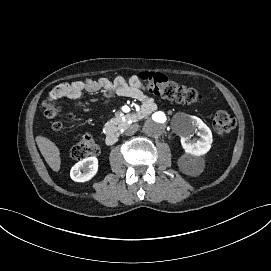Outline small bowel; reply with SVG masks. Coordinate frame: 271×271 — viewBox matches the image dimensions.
<instances>
[{
	"label": "small bowel",
	"mask_w": 271,
	"mask_h": 271,
	"mask_svg": "<svg viewBox=\"0 0 271 271\" xmlns=\"http://www.w3.org/2000/svg\"><path fill=\"white\" fill-rule=\"evenodd\" d=\"M145 86L136 75L129 77L117 76L113 81L102 77L99 79L78 80L58 85L50 93L51 99L69 98L75 105L82 106L84 92L96 93L104 91L109 96H121L141 101L143 109L151 111L155 108L154 100L146 94Z\"/></svg>",
	"instance_id": "small-bowel-1"
}]
</instances>
